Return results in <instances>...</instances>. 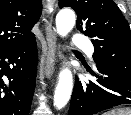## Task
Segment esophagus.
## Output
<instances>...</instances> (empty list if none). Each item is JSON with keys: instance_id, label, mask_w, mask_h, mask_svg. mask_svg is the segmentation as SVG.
<instances>
[{"instance_id": "1", "label": "esophagus", "mask_w": 131, "mask_h": 115, "mask_svg": "<svg viewBox=\"0 0 131 115\" xmlns=\"http://www.w3.org/2000/svg\"><path fill=\"white\" fill-rule=\"evenodd\" d=\"M48 19L46 20L45 25V34L48 44V54L44 66V73L47 78H50L54 73L55 58L56 56L61 57V52L57 45V36L54 27L51 24L52 18L47 12Z\"/></svg>"}]
</instances>
